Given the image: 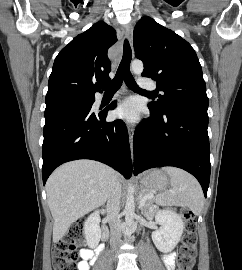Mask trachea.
<instances>
[{
    "label": "trachea",
    "mask_w": 242,
    "mask_h": 270,
    "mask_svg": "<svg viewBox=\"0 0 242 270\" xmlns=\"http://www.w3.org/2000/svg\"><path fill=\"white\" fill-rule=\"evenodd\" d=\"M131 58H132L131 47L128 40L126 39L124 41L123 57L117 69L114 79L108 83L101 84L100 86L105 92H116L122 85V82L125 81L126 85L134 91L153 94L146 90H142L136 84L130 72Z\"/></svg>",
    "instance_id": "trachea-1"
}]
</instances>
